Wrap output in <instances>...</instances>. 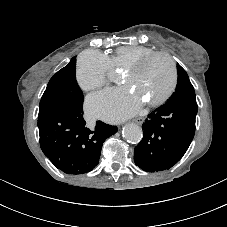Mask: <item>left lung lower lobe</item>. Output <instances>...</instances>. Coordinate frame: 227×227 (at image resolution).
Wrapping results in <instances>:
<instances>
[{"label": "left lung lower lobe", "instance_id": "0a47b994", "mask_svg": "<svg viewBox=\"0 0 227 227\" xmlns=\"http://www.w3.org/2000/svg\"><path fill=\"white\" fill-rule=\"evenodd\" d=\"M196 101L173 100L155 109L142 125L143 139L134 149V161L147 172L174 166L195 134Z\"/></svg>", "mask_w": 227, "mask_h": 227}]
</instances>
